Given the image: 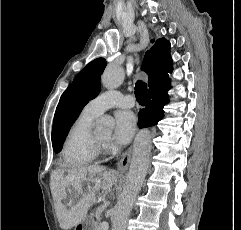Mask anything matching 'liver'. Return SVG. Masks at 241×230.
Returning a JSON list of instances; mask_svg holds the SVG:
<instances>
[{"instance_id": "liver-1", "label": "liver", "mask_w": 241, "mask_h": 230, "mask_svg": "<svg viewBox=\"0 0 241 230\" xmlns=\"http://www.w3.org/2000/svg\"><path fill=\"white\" fill-rule=\"evenodd\" d=\"M117 177L103 166L57 169L51 174V193L60 227L71 229L85 219L88 209L97 202L101 191L111 189ZM68 191L74 193L67 205Z\"/></svg>"}]
</instances>
